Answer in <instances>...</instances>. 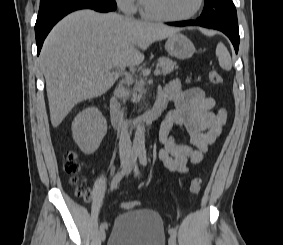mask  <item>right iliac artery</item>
<instances>
[{"label": "right iliac artery", "mask_w": 283, "mask_h": 245, "mask_svg": "<svg viewBox=\"0 0 283 245\" xmlns=\"http://www.w3.org/2000/svg\"><path fill=\"white\" fill-rule=\"evenodd\" d=\"M139 155V150L133 149L131 154H130V159L128 161V163L125 165V167L119 171L115 177L113 178L111 185H110V189L111 191H113L114 189L117 188L118 184L120 183V181L123 179V177L128 174L129 172H131L133 166L135 165V162L137 160V157ZM101 229H105L107 228V223L103 222L100 225Z\"/></svg>", "instance_id": "right-iliac-artery-1"}]
</instances>
